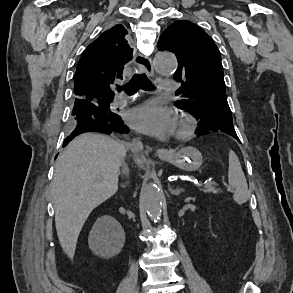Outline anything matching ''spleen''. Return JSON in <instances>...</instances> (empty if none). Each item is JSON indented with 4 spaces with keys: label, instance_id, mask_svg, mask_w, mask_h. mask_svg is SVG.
<instances>
[{
    "label": "spleen",
    "instance_id": "obj_1",
    "mask_svg": "<svg viewBox=\"0 0 293 293\" xmlns=\"http://www.w3.org/2000/svg\"><path fill=\"white\" fill-rule=\"evenodd\" d=\"M228 182L234 189L233 199L238 204L247 202L249 190L239 159L234 151H229Z\"/></svg>",
    "mask_w": 293,
    "mask_h": 293
}]
</instances>
